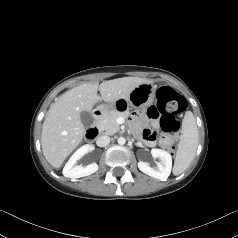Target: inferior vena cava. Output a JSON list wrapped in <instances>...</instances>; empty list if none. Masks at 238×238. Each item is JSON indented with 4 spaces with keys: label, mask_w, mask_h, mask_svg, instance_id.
Returning a JSON list of instances; mask_svg holds the SVG:
<instances>
[{
    "label": "inferior vena cava",
    "mask_w": 238,
    "mask_h": 238,
    "mask_svg": "<svg viewBox=\"0 0 238 238\" xmlns=\"http://www.w3.org/2000/svg\"><path fill=\"white\" fill-rule=\"evenodd\" d=\"M110 143V137L107 135H101L97 138L96 144L99 147H105Z\"/></svg>",
    "instance_id": "602c4592"
}]
</instances>
